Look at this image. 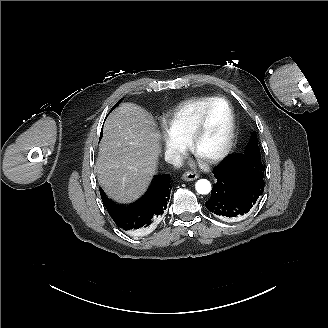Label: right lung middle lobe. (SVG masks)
I'll list each match as a JSON object with an SVG mask.
<instances>
[{
    "mask_svg": "<svg viewBox=\"0 0 328 328\" xmlns=\"http://www.w3.org/2000/svg\"><path fill=\"white\" fill-rule=\"evenodd\" d=\"M119 103H120V101L111 109V111L116 107V106H118L119 105Z\"/></svg>",
    "mask_w": 328,
    "mask_h": 328,
    "instance_id": "right-lung-middle-lobe-1",
    "label": "right lung middle lobe"
}]
</instances>
